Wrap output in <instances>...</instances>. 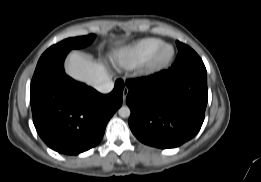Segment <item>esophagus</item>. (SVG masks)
Returning <instances> with one entry per match:
<instances>
[{"instance_id": "esophagus-1", "label": "esophagus", "mask_w": 261, "mask_h": 182, "mask_svg": "<svg viewBox=\"0 0 261 182\" xmlns=\"http://www.w3.org/2000/svg\"><path fill=\"white\" fill-rule=\"evenodd\" d=\"M128 92H129V89L125 86L124 89H123V95H122V97H123V102H125L126 97H127V95H128Z\"/></svg>"}]
</instances>
